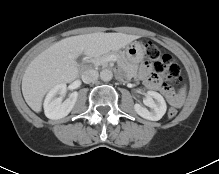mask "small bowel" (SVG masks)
Listing matches in <instances>:
<instances>
[{"mask_svg":"<svg viewBox=\"0 0 219 174\" xmlns=\"http://www.w3.org/2000/svg\"><path fill=\"white\" fill-rule=\"evenodd\" d=\"M139 75L148 88L161 91L171 106L180 107L183 104L185 99L184 92L182 90L176 91L168 88L153 74L151 67L148 64H143L140 67Z\"/></svg>","mask_w":219,"mask_h":174,"instance_id":"obj_1","label":"small bowel"}]
</instances>
